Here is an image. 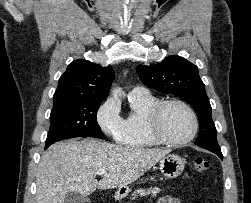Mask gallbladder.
Returning <instances> with one entry per match:
<instances>
[{"label":"gallbladder","instance_id":"gallbladder-1","mask_svg":"<svg viewBox=\"0 0 251 203\" xmlns=\"http://www.w3.org/2000/svg\"><path fill=\"white\" fill-rule=\"evenodd\" d=\"M64 203H90V198L76 192H69L65 196Z\"/></svg>","mask_w":251,"mask_h":203}]
</instances>
